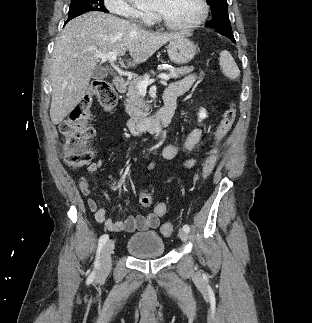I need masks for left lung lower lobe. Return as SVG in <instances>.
Returning a JSON list of instances; mask_svg holds the SVG:
<instances>
[{
	"label": "left lung lower lobe",
	"instance_id": "obj_1",
	"mask_svg": "<svg viewBox=\"0 0 312 323\" xmlns=\"http://www.w3.org/2000/svg\"><path fill=\"white\" fill-rule=\"evenodd\" d=\"M224 36H226V35H224ZM226 37L230 38L232 41L235 42L234 36H226Z\"/></svg>",
	"mask_w": 312,
	"mask_h": 323
}]
</instances>
